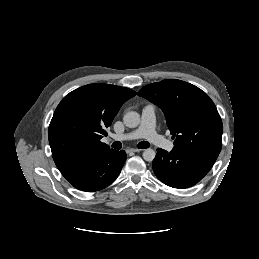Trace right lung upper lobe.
I'll return each mask as SVG.
<instances>
[{"label": "right lung upper lobe", "instance_id": "right-lung-upper-lobe-1", "mask_svg": "<svg viewBox=\"0 0 259 259\" xmlns=\"http://www.w3.org/2000/svg\"><path fill=\"white\" fill-rule=\"evenodd\" d=\"M136 92L115 85L89 84L69 94L57 106L48 138L55 163L75 161L111 150L100 140L120 107Z\"/></svg>", "mask_w": 259, "mask_h": 259}]
</instances>
